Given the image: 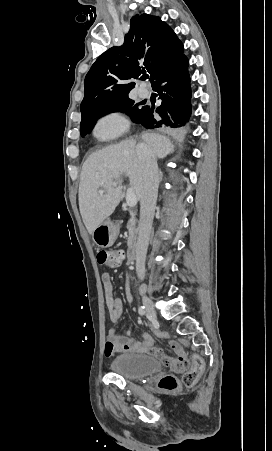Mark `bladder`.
Masks as SVG:
<instances>
[{
  "label": "bladder",
  "instance_id": "bladder-1",
  "mask_svg": "<svg viewBox=\"0 0 272 451\" xmlns=\"http://www.w3.org/2000/svg\"><path fill=\"white\" fill-rule=\"evenodd\" d=\"M161 366L157 358L140 353L119 354L111 359L109 364L110 372L113 375L123 377L129 382L144 380L148 376L158 373Z\"/></svg>",
  "mask_w": 272,
  "mask_h": 451
}]
</instances>
